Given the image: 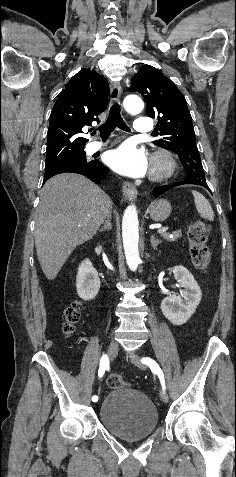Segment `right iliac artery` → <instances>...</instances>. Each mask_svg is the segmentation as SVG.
Listing matches in <instances>:
<instances>
[{
    "instance_id": "1",
    "label": "right iliac artery",
    "mask_w": 236,
    "mask_h": 477,
    "mask_svg": "<svg viewBox=\"0 0 236 477\" xmlns=\"http://www.w3.org/2000/svg\"><path fill=\"white\" fill-rule=\"evenodd\" d=\"M109 368V358L108 356L105 354L101 357V360H100V366H99V370H98V376L101 378L105 371ZM92 403L94 405H97L99 403V399H98V396L94 395L92 397Z\"/></svg>"
}]
</instances>
